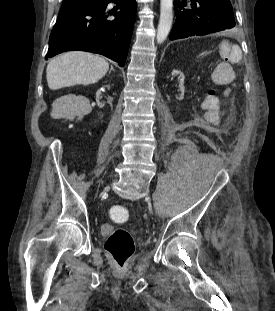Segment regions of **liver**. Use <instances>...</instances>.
Wrapping results in <instances>:
<instances>
[{
    "instance_id": "obj_1",
    "label": "liver",
    "mask_w": 275,
    "mask_h": 311,
    "mask_svg": "<svg viewBox=\"0 0 275 311\" xmlns=\"http://www.w3.org/2000/svg\"><path fill=\"white\" fill-rule=\"evenodd\" d=\"M108 69L109 64L102 57L87 52H68L50 60L46 79L51 90L90 85L104 77Z\"/></svg>"
}]
</instances>
